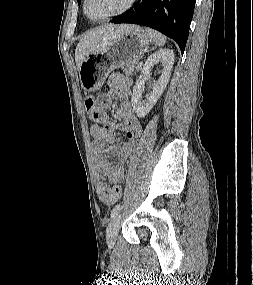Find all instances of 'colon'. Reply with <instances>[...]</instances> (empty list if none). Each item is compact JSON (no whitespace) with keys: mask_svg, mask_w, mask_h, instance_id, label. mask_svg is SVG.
Wrapping results in <instances>:
<instances>
[{"mask_svg":"<svg viewBox=\"0 0 253 285\" xmlns=\"http://www.w3.org/2000/svg\"><path fill=\"white\" fill-rule=\"evenodd\" d=\"M84 105H85L86 111L88 113H91L93 111V109L95 108L96 101L92 96L89 95L85 98ZM114 189H115V192L118 194H120L122 192L121 186H115Z\"/></svg>","mask_w":253,"mask_h":285,"instance_id":"1","label":"colon"}]
</instances>
